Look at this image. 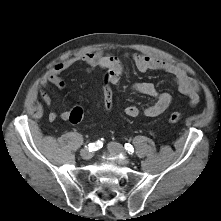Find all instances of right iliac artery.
Masks as SVG:
<instances>
[{
  "label": "right iliac artery",
  "mask_w": 221,
  "mask_h": 221,
  "mask_svg": "<svg viewBox=\"0 0 221 221\" xmlns=\"http://www.w3.org/2000/svg\"><path fill=\"white\" fill-rule=\"evenodd\" d=\"M103 146L102 141L98 140L95 143H90L88 145L89 151H96L97 149L101 148Z\"/></svg>",
  "instance_id": "obj_1"
}]
</instances>
